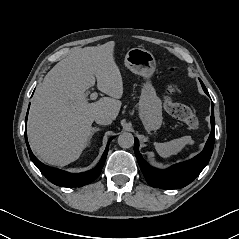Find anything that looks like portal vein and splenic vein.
Listing matches in <instances>:
<instances>
[{"mask_svg":"<svg viewBox=\"0 0 239 239\" xmlns=\"http://www.w3.org/2000/svg\"><path fill=\"white\" fill-rule=\"evenodd\" d=\"M97 98V93L94 92L90 95V100H95Z\"/></svg>","mask_w":239,"mask_h":239,"instance_id":"portal-vein-and-splenic-vein-1","label":"portal vein and splenic vein"}]
</instances>
